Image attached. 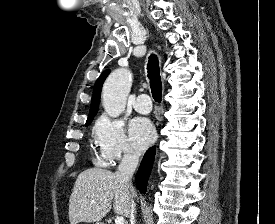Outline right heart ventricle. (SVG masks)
<instances>
[{"instance_id":"1","label":"right heart ventricle","mask_w":275,"mask_h":224,"mask_svg":"<svg viewBox=\"0 0 275 224\" xmlns=\"http://www.w3.org/2000/svg\"><path fill=\"white\" fill-rule=\"evenodd\" d=\"M96 162L99 165H106L108 163V161L102 154L97 155Z\"/></svg>"}]
</instances>
